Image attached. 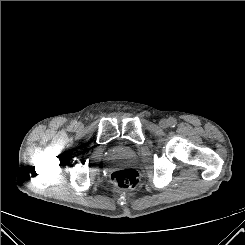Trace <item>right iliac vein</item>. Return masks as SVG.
Segmentation results:
<instances>
[{
  "mask_svg": "<svg viewBox=\"0 0 245 245\" xmlns=\"http://www.w3.org/2000/svg\"><path fill=\"white\" fill-rule=\"evenodd\" d=\"M81 127H82V124L78 123L77 128H81Z\"/></svg>",
  "mask_w": 245,
  "mask_h": 245,
  "instance_id": "1",
  "label": "right iliac vein"
}]
</instances>
